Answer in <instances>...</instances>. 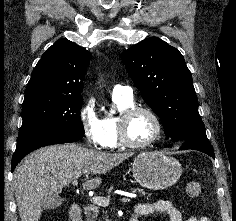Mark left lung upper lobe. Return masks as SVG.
<instances>
[{
    "label": "left lung upper lobe",
    "mask_w": 236,
    "mask_h": 221,
    "mask_svg": "<svg viewBox=\"0 0 236 221\" xmlns=\"http://www.w3.org/2000/svg\"><path fill=\"white\" fill-rule=\"evenodd\" d=\"M121 59L167 137L177 142L207 137L191 72L176 48L150 37L123 51Z\"/></svg>",
    "instance_id": "1"
}]
</instances>
